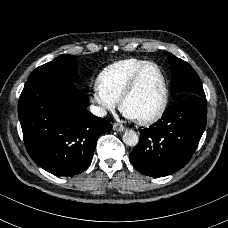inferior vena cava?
I'll return each instance as SVG.
<instances>
[{
	"label": "inferior vena cava",
	"instance_id": "inferior-vena-cava-1",
	"mask_svg": "<svg viewBox=\"0 0 228 228\" xmlns=\"http://www.w3.org/2000/svg\"><path fill=\"white\" fill-rule=\"evenodd\" d=\"M90 111H91L94 115H96V116H98V117H104V116L107 114V112H106L104 109L99 108V107L94 106V105H91V106H90Z\"/></svg>",
	"mask_w": 228,
	"mask_h": 228
}]
</instances>
